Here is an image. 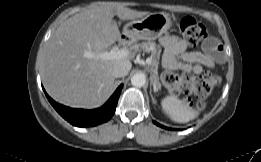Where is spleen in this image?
Returning a JSON list of instances; mask_svg holds the SVG:
<instances>
[{"label": "spleen", "instance_id": "obj_1", "mask_svg": "<svg viewBox=\"0 0 261 162\" xmlns=\"http://www.w3.org/2000/svg\"><path fill=\"white\" fill-rule=\"evenodd\" d=\"M161 107L165 114L178 123H187L199 115L197 110L190 107L188 103L180 100L175 95L163 98Z\"/></svg>", "mask_w": 261, "mask_h": 162}]
</instances>
